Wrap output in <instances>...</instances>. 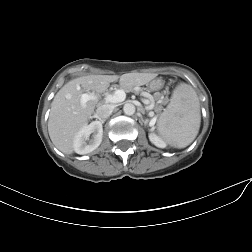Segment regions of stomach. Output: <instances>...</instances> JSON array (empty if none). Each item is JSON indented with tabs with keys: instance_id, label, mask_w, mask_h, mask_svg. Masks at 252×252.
<instances>
[{
	"instance_id": "0dacf381",
	"label": "stomach",
	"mask_w": 252,
	"mask_h": 252,
	"mask_svg": "<svg viewBox=\"0 0 252 252\" xmlns=\"http://www.w3.org/2000/svg\"><path fill=\"white\" fill-rule=\"evenodd\" d=\"M162 87H163V81L160 79H155L151 81L149 84V89L151 91L160 90Z\"/></svg>"
}]
</instances>
